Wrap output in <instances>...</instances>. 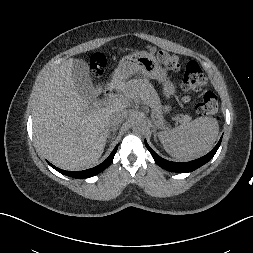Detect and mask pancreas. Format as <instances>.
I'll return each instance as SVG.
<instances>
[{"label":"pancreas","mask_w":253,"mask_h":253,"mask_svg":"<svg viewBox=\"0 0 253 253\" xmlns=\"http://www.w3.org/2000/svg\"><path fill=\"white\" fill-rule=\"evenodd\" d=\"M131 93H140L144 100L153 108L154 111L160 112V99L153 88V86L147 82L142 80L129 81L123 88L122 96L131 94ZM188 116V115H187ZM189 118H184L182 116V122L186 123L190 121Z\"/></svg>","instance_id":"1"}]
</instances>
